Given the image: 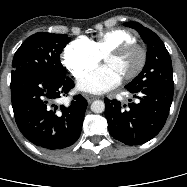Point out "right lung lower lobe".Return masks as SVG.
Here are the masks:
<instances>
[{
    "mask_svg": "<svg viewBox=\"0 0 187 187\" xmlns=\"http://www.w3.org/2000/svg\"><path fill=\"white\" fill-rule=\"evenodd\" d=\"M74 87L67 76L20 72L11 76V99L17 126L33 144L46 150H61L80 136L86 99L77 95L69 107L51 103ZM51 107H54L52 109Z\"/></svg>",
    "mask_w": 187,
    "mask_h": 187,
    "instance_id": "right-lung-lower-lobe-1",
    "label": "right lung lower lobe"
}]
</instances>
